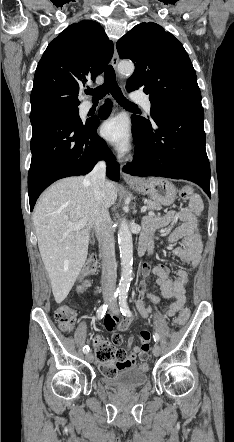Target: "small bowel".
Returning <instances> with one entry per match:
<instances>
[{
  "label": "small bowel",
  "mask_w": 234,
  "mask_h": 442,
  "mask_svg": "<svg viewBox=\"0 0 234 442\" xmlns=\"http://www.w3.org/2000/svg\"><path fill=\"white\" fill-rule=\"evenodd\" d=\"M203 210V203L201 199L196 196L191 200L187 207H183L177 211H171L165 216L152 215L144 220V229L146 236L149 239L150 247L149 254H154L153 236L155 232L170 224H175L176 227L169 234L164 249L172 248L175 243L180 242L181 246L173 249V255L181 262L190 267H196L201 254L202 243L199 232V216ZM151 273L157 276L156 290L167 299H173L165 307V316L172 317L179 312L185 302V288L188 283V272L185 269H179L175 272L174 278H170L168 268L163 264L152 266L151 263L146 262L142 266V280L139 286L141 298L136 302V309L143 315L148 316L152 313V308L148 306L144 300L147 298L153 302H158L159 298L152 295L148 289V283ZM118 318L113 315H106L102 322L104 328L111 330L115 328ZM129 327V321L123 320L118 325V330L112 331L113 338L111 344L113 346L120 345L122 342L121 333L126 331ZM120 331V332H119ZM139 338L141 340V348L135 347L131 352L127 350L131 347L134 338L130 337L127 341V348L123 349L127 354L126 367L129 370L134 369L136 359L139 362L149 358V341L150 333L148 331L140 332ZM104 341L102 338H97L95 344ZM142 366V365H141Z\"/></svg>",
  "instance_id": "small-bowel-1"
}]
</instances>
